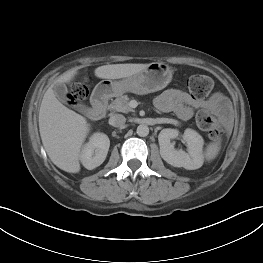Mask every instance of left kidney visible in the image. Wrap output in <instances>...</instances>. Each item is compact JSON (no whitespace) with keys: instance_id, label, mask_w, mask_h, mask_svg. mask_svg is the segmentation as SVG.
Wrapping results in <instances>:
<instances>
[{"instance_id":"5707ae66","label":"left kidney","mask_w":263,"mask_h":263,"mask_svg":"<svg viewBox=\"0 0 263 263\" xmlns=\"http://www.w3.org/2000/svg\"><path fill=\"white\" fill-rule=\"evenodd\" d=\"M178 136L176 129L166 128L158 135L161 157L174 167H183L188 170H195L203 164L204 140L201 135L192 129H186L183 135L187 143V152L176 150L172 139Z\"/></svg>"}]
</instances>
